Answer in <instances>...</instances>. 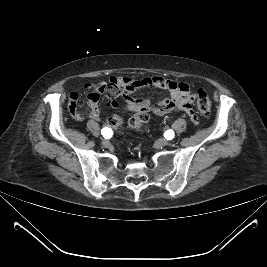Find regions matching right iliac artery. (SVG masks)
Returning a JSON list of instances; mask_svg holds the SVG:
<instances>
[{
  "instance_id": "82829eb1",
  "label": "right iliac artery",
  "mask_w": 267,
  "mask_h": 267,
  "mask_svg": "<svg viewBox=\"0 0 267 267\" xmlns=\"http://www.w3.org/2000/svg\"><path fill=\"white\" fill-rule=\"evenodd\" d=\"M101 133L105 138H110L112 136V130L110 128H103Z\"/></svg>"
}]
</instances>
